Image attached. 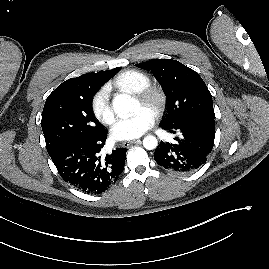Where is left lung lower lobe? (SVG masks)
<instances>
[{
	"mask_svg": "<svg viewBox=\"0 0 269 269\" xmlns=\"http://www.w3.org/2000/svg\"><path fill=\"white\" fill-rule=\"evenodd\" d=\"M178 133L175 143L161 142L154 152L155 161L166 170L186 174L202 167L212 151L215 138L213 118H190L173 125H163Z\"/></svg>",
	"mask_w": 269,
	"mask_h": 269,
	"instance_id": "1",
	"label": "left lung lower lobe"
}]
</instances>
